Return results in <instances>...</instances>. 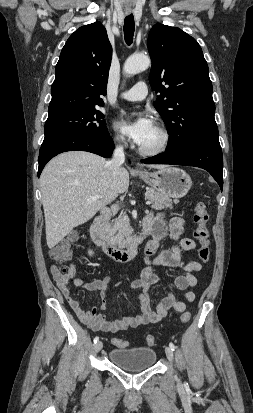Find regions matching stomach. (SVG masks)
I'll list each match as a JSON object with an SVG mask.
<instances>
[{"label": "stomach", "mask_w": 253, "mask_h": 413, "mask_svg": "<svg viewBox=\"0 0 253 413\" xmlns=\"http://www.w3.org/2000/svg\"><path fill=\"white\" fill-rule=\"evenodd\" d=\"M140 178L157 192L175 199L184 197L192 186L189 174L174 166H166L155 172H143Z\"/></svg>", "instance_id": "1"}]
</instances>
